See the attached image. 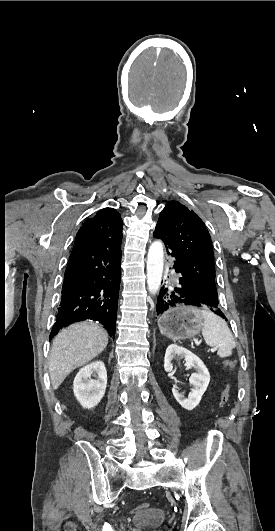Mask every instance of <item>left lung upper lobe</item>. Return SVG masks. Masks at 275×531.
Instances as JSON below:
<instances>
[{
	"instance_id": "obj_1",
	"label": "left lung upper lobe",
	"mask_w": 275,
	"mask_h": 531,
	"mask_svg": "<svg viewBox=\"0 0 275 531\" xmlns=\"http://www.w3.org/2000/svg\"><path fill=\"white\" fill-rule=\"evenodd\" d=\"M156 228L176 254L190 291L217 307L211 237L200 217L181 203L170 201L161 211Z\"/></svg>"
}]
</instances>
